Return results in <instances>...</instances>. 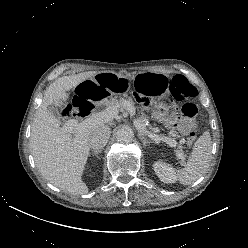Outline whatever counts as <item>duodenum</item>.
I'll list each match as a JSON object with an SVG mask.
<instances>
[{"instance_id": "duodenum-1", "label": "duodenum", "mask_w": 248, "mask_h": 248, "mask_svg": "<svg viewBox=\"0 0 248 248\" xmlns=\"http://www.w3.org/2000/svg\"><path fill=\"white\" fill-rule=\"evenodd\" d=\"M93 108L94 106L91 104H87V105L78 104L76 106V111L81 117H86L93 111Z\"/></svg>"}]
</instances>
